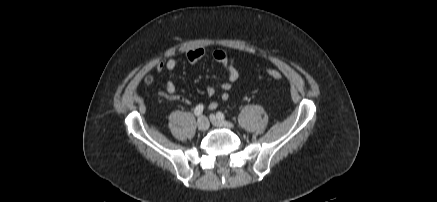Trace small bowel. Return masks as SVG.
I'll return each mask as SVG.
<instances>
[{
  "mask_svg": "<svg viewBox=\"0 0 437 202\" xmlns=\"http://www.w3.org/2000/svg\"><path fill=\"white\" fill-rule=\"evenodd\" d=\"M205 55V51L201 47H195L187 51L186 59L189 63L194 64L199 61ZM214 60L221 66L224 70L228 81L224 82L220 85V89L222 93L219 97V100L213 101L209 104L210 109H215L218 107L220 102H224L228 100L229 94L228 92L232 88L234 82L239 78V72L235 66V60L232 58L226 51L224 50H215L213 52ZM177 61L174 58H169L165 61H160L156 64V69L158 72L163 69H167L168 71H172L176 68ZM176 92V87L172 81H168L166 83V93L168 96L173 97ZM206 93L209 97H212L216 93V88L210 86L207 88Z\"/></svg>",
  "mask_w": 437,
  "mask_h": 202,
  "instance_id": "c3829d8e",
  "label": "small bowel"
}]
</instances>
